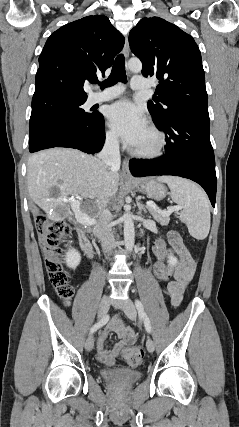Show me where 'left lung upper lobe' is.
Listing matches in <instances>:
<instances>
[{"mask_svg":"<svg viewBox=\"0 0 239 427\" xmlns=\"http://www.w3.org/2000/svg\"><path fill=\"white\" fill-rule=\"evenodd\" d=\"M129 44L142 61V74L159 80L156 104H147L155 122L177 113L209 118L201 54L189 34L162 18H143L131 30Z\"/></svg>","mask_w":239,"mask_h":427,"instance_id":"obj_1","label":"left lung upper lobe"}]
</instances>
